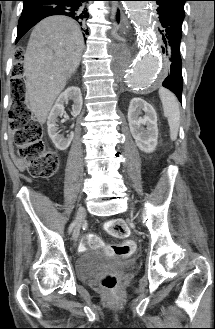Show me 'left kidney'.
Listing matches in <instances>:
<instances>
[{"label":"left kidney","instance_id":"5707ae66","mask_svg":"<svg viewBox=\"0 0 215 329\" xmlns=\"http://www.w3.org/2000/svg\"><path fill=\"white\" fill-rule=\"evenodd\" d=\"M142 111L145 115L140 117ZM128 121L139 149L146 153L153 152L157 146L158 127L157 114L152 105L139 97L133 98L128 109Z\"/></svg>","mask_w":215,"mask_h":329}]
</instances>
